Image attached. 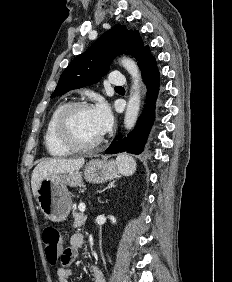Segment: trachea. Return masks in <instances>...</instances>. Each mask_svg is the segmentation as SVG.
I'll use <instances>...</instances> for the list:
<instances>
[{
    "label": "trachea",
    "instance_id": "obj_1",
    "mask_svg": "<svg viewBox=\"0 0 232 282\" xmlns=\"http://www.w3.org/2000/svg\"><path fill=\"white\" fill-rule=\"evenodd\" d=\"M116 88H117V89H120V88H122V87H120V86H117Z\"/></svg>",
    "mask_w": 232,
    "mask_h": 282
}]
</instances>
